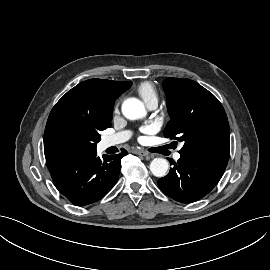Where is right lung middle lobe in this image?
<instances>
[{
	"label": "right lung middle lobe",
	"mask_w": 270,
	"mask_h": 270,
	"mask_svg": "<svg viewBox=\"0 0 270 270\" xmlns=\"http://www.w3.org/2000/svg\"><path fill=\"white\" fill-rule=\"evenodd\" d=\"M110 125L65 119L56 123L49 132L48 149L54 156L82 155L96 150L99 131Z\"/></svg>",
	"instance_id": "dd1d6c3e"
}]
</instances>
